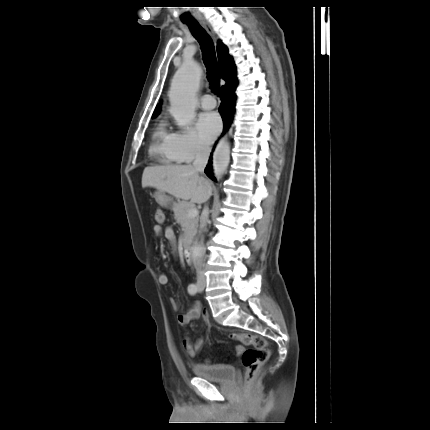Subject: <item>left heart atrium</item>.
Listing matches in <instances>:
<instances>
[{"label": "left heart atrium", "instance_id": "39dd6f15", "mask_svg": "<svg viewBox=\"0 0 430 430\" xmlns=\"http://www.w3.org/2000/svg\"><path fill=\"white\" fill-rule=\"evenodd\" d=\"M197 130L204 143H211L221 130L219 115L215 112L201 114L197 121Z\"/></svg>", "mask_w": 430, "mask_h": 430}]
</instances>
